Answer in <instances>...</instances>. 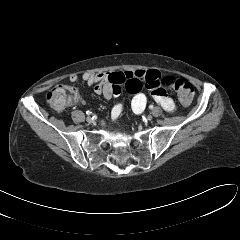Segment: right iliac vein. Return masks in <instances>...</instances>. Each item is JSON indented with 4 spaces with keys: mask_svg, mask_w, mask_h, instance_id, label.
I'll use <instances>...</instances> for the list:
<instances>
[{
    "mask_svg": "<svg viewBox=\"0 0 240 240\" xmlns=\"http://www.w3.org/2000/svg\"><path fill=\"white\" fill-rule=\"evenodd\" d=\"M86 120H87L88 123H92V121H93L90 116H88V117L86 118Z\"/></svg>",
    "mask_w": 240,
    "mask_h": 240,
    "instance_id": "1",
    "label": "right iliac vein"
}]
</instances>
